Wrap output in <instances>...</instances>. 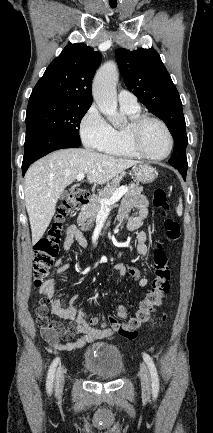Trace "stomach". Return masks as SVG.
<instances>
[{
	"label": "stomach",
	"mask_w": 213,
	"mask_h": 433,
	"mask_svg": "<svg viewBox=\"0 0 213 433\" xmlns=\"http://www.w3.org/2000/svg\"><path fill=\"white\" fill-rule=\"evenodd\" d=\"M133 171L136 178L145 184L153 182L156 177V170L147 164L134 166Z\"/></svg>",
	"instance_id": "1"
}]
</instances>
